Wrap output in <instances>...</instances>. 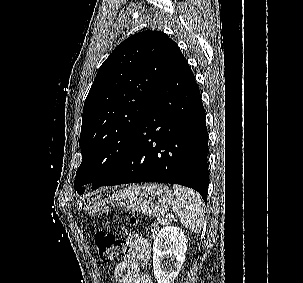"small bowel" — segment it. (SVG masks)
I'll return each instance as SVG.
<instances>
[{
    "instance_id": "1",
    "label": "small bowel",
    "mask_w": 303,
    "mask_h": 283,
    "mask_svg": "<svg viewBox=\"0 0 303 283\" xmlns=\"http://www.w3.org/2000/svg\"><path fill=\"white\" fill-rule=\"evenodd\" d=\"M126 244L127 250L114 269L116 283H153L148 275L140 274L150 258V243L138 234H130Z\"/></svg>"
}]
</instances>
